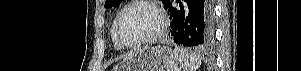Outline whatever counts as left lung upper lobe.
Masks as SVG:
<instances>
[{
    "instance_id": "5c2ea615",
    "label": "left lung upper lobe",
    "mask_w": 301,
    "mask_h": 71,
    "mask_svg": "<svg viewBox=\"0 0 301 71\" xmlns=\"http://www.w3.org/2000/svg\"><path fill=\"white\" fill-rule=\"evenodd\" d=\"M168 0H162V2L165 4ZM122 0H106L105 2V8H111V7H117Z\"/></svg>"
}]
</instances>
